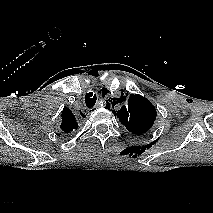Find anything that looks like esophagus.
Returning <instances> with one entry per match:
<instances>
[{
	"label": "esophagus",
	"mask_w": 213,
	"mask_h": 213,
	"mask_svg": "<svg viewBox=\"0 0 213 213\" xmlns=\"http://www.w3.org/2000/svg\"><path fill=\"white\" fill-rule=\"evenodd\" d=\"M98 106H99V104H96V105H95V108H97Z\"/></svg>",
	"instance_id": "1"
}]
</instances>
